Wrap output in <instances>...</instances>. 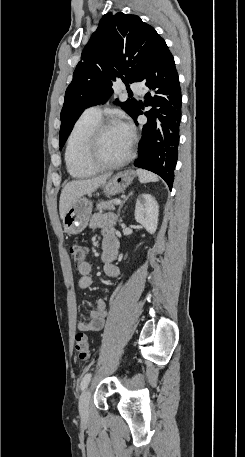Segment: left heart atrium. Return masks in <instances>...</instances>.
I'll list each match as a JSON object with an SVG mask.
<instances>
[{"mask_svg":"<svg viewBox=\"0 0 245 457\" xmlns=\"http://www.w3.org/2000/svg\"><path fill=\"white\" fill-rule=\"evenodd\" d=\"M119 128L122 130V132L128 136L129 138H131V126L129 123L127 122H123Z\"/></svg>","mask_w":245,"mask_h":457,"instance_id":"39dd6f15","label":"left heart atrium"}]
</instances>
